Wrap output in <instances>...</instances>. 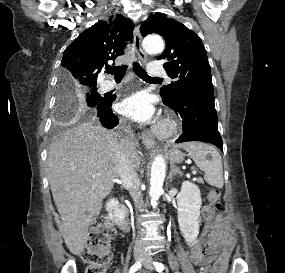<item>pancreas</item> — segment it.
Segmentation results:
<instances>
[{
	"instance_id": "cf45deb5",
	"label": "pancreas",
	"mask_w": 285,
	"mask_h": 273,
	"mask_svg": "<svg viewBox=\"0 0 285 273\" xmlns=\"http://www.w3.org/2000/svg\"><path fill=\"white\" fill-rule=\"evenodd\" d=\"M197 182L203 183V180L199 178V179H197Z\"/></svg>"
}]
</instances>
